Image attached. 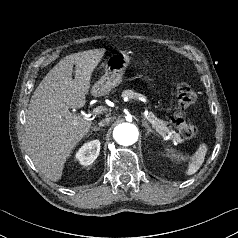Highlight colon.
<instances>
[{
  "instance_id": "obj_1",
  "label": "colon",
  "mask_w": 238,
  "mask_h": 238,
  "mask_svg": "<svg viewBox=\"0 0 238 238\" xmlns=\"http://www.w3.org/2000/svg\"><path fill=\"white\" fill-rule=\"evenodd\" d=\"M176 96L178 108L172 117V124L183 138H194L197 135V127L189 121L185 110L195 102L196 92L188 84L181 83L176 89Z\"/></svg>"
}]
</instances>
